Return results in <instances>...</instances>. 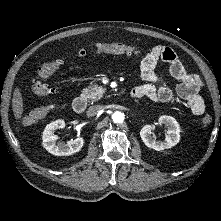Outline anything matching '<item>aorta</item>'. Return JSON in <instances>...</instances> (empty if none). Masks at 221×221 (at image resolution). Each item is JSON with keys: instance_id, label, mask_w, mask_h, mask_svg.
<instances>
[{"instance_id": "762f6f07", "label": "aorta", "mask_w": 221, "mask_h": 221, "mask_svg": "<svg viewBox=\"0 0 221 221\" xmlns=\"http://www.w3.org/2000/svg\"><path fill=\"white\" fill-rule=\"evenodd\" d=\"M112 120L114 123H122L124 121V114L120 111H116L112 114Z\"/></svg>"}]
</instances>
